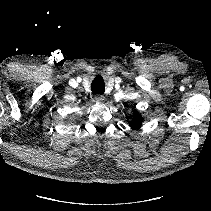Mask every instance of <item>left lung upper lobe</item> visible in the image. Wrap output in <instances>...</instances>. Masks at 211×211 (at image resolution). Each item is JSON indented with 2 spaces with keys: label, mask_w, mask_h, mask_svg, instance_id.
Wrapping results in <instances>:
<instances>
[{
  "label": "left lung upper lobe",
  "mask_w": 211,
  "mask_h": 211,
  "mask_svg": "<svg viewBox=\"0 0 211 211\" xmlns=\"http://www.w3.org/2000/svg\"><path fill=\"white\" fill-rule=\"evenodd\" d=\"M131 117H133V119H132V121L130 122V126H131L133 129L138 128V127L141 125V123H142V119H141L140 114H139L136 110H134V111H133V115H132ZM127 120H129V119L127 118Z\"/></svg>",
  "instance_id": "1"
}]
</instances>
